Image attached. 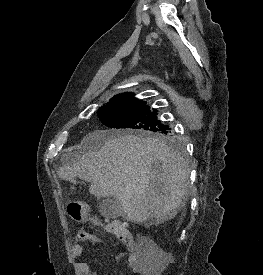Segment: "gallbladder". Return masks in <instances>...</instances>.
<instances>
[{"mask_svg": "<svg viewBox=\"0 0 263 275\" xmlns=\"http://www.w3.org/2000/svg\"><path fill=\"white\" fill-rule=\"evenodd\" d=\"M98 208L100 213L104 217L109 219H115L123 215V209L121 204L110 197L103 198L101 202H99Z\"/></svg>", "mask_w": 263, "mask_h": 275, "instance_id": "gallbladder-1", "label": "gallbladder"}]
</instances>
